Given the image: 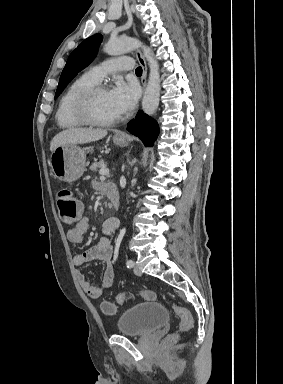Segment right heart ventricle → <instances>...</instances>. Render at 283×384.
I'll use <instances>...</instances> for the list:
<instances>
[{
	"instance_id": "1",
	"label": "right heart ventricle",
	"mask_w": 283,
	"mask_h": 384,
	"mask_svg": "<svg viewBox=\"0 0 283 384\" xmlns=\"http://www.w3.org/2000/svg\"><path fill=\"white\" fill-rule=\"evenodd\" d=\"M95 84L86 75H82L67 87L58 101L55 112V119L59 128L75 130L82 126L72 116V105L82 91Z\"/></svg>"
}]
</instances>
